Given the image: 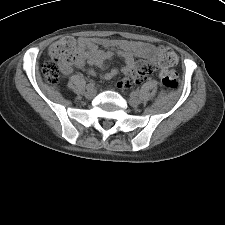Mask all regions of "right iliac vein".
Returning a JSON list of instances; mask_svg holds the SVG:
<instances>
[{"mask_svg": "<svg viewBox=\"0 0 225 225\" xmlns=\"http://www.w3.org/2000/svg\"><path fill=\"white\" fill-rule=\"evenodd\" d=\"M96 95V90L93 88L87 89V92L85 93V97L87 99H93Z\"/></svg>", "mask_w": 225, "mask_h": 225, "instance_id": "1", "label": "right iliac vein"}]
</instances>
